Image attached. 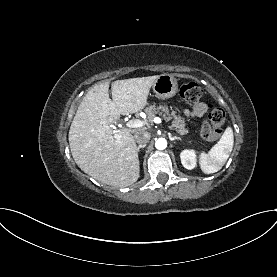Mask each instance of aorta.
<instances>
[{
  "label": "aorta",
  "instance_id": "762f6f07",
  "mask_svg": "<svg viewBox=\"0 0 277 277\" xmlns=\"http://www.w3.org/2000/svg\"><path fill=\"white\" fill-rule=\"evenodd\" d=\"M155 147L158 149V150H163L167 147V141L166 139L164 138H158L156 141H155Z\"/></svg>",
  "mask_w": 277,
  "mask_h": 277
}]
</instances>
